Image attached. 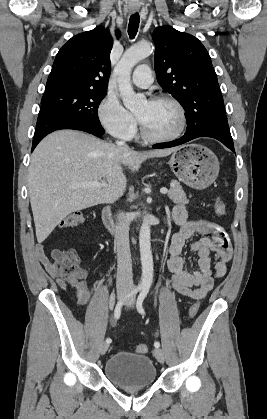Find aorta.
<instances>
[{
    "label": "aorta",
    "mask_w": 267,
    "mask_h": 419,
    "mask_svg": "<svg viewBox=\"0 0 267 419\" xmlns=\"http://www.w3.org/2000/svg\"><path fill=\"white\" fill-rule=\"evenodd\" d=\"M153 51L150 43H142L127 49L117 66L115 74L118 77L119 92L124 106L134 110L145 102L143 94H136L131 85L130 75L133 67ZM150 223L145 219L139 233L140 259L142 264L141 286L150 288L153 281V257L151 251Z\"/></svg>",
    "instance_id": "762f6f07"
}]
</instances>
